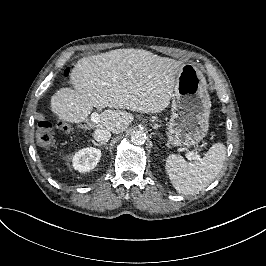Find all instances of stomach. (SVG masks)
<instances>
[{"label":"stomach","mask_w":266,"mask_h":266,"mask_svg":"<svg viewBox=\"0 0 266 266\" xmlns=\"http://www.w3.org/2000/svg\"><path fill=\"white\" fill-rule=\"evenodd\" d=\"M211 106L204 75L196 67L185 65L172 95L171 117L165 129L167 146H192L206 138Z\"/></svg>","instance_id":"0dacf381"}]
</instances>
